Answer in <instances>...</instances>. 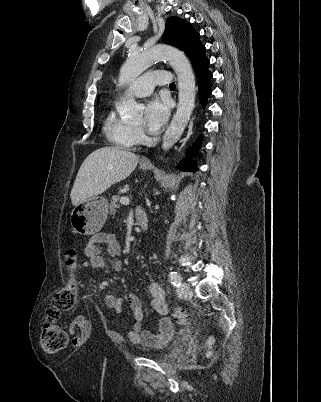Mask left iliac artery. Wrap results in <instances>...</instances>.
<instances>
[{
  "mask_svg": "<svg viewBox=\"0 0 321 402\" xmlns=\"http://www.w3.org/2000/svg\"><path fill=\"white\" fill-rule=\"evenodd\" d=\"M170 281H171V283L175 286V287H177V288H179L180 287V285H181V277H180V275L176 272V271H172V272H170Z\"/></svg>",
  "mask_w": 321,
  "mask_h": 402,
  "instance_id": "obj_1",
  "label": "left iliac artery"
}]
</instances>
